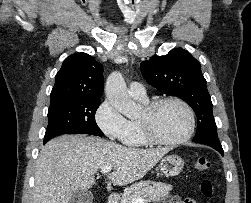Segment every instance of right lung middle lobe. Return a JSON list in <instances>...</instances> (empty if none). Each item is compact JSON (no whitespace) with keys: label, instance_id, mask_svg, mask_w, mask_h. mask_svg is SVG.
I'll use <instances>...</instances> for the list:
<instances>
[{"label":"right lung middle lobe","instance_id":"1","mask_svg":"<svg viewBox=\"0 0 251 203\" xmlns=\"http://www.w3.org/2000/svg\"><path fill=\"white\" fill-rule=\"evenodd\" d=\"M100 99L76 100L50 107L44 144L61 134H89L103 136L95 121Z\"/></svg>","mask_w":251,"mask_h":203}]
</instances>
